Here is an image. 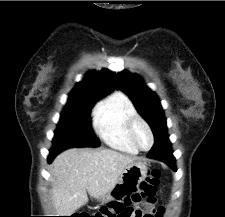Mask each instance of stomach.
I'll use <instances>...</instances> for the list:
<instances>
[{
  "instance_id": "obj_1",
  "label": "stomach",
  "mask_w": 225,
  "mask_h": 217,
  "mask_svg": "<svg viewBox=\"0 0 225 217\" xmlns=\"http://www.w3.org/2000/svg\"><path fill=\"white\" fill-rule=\"evenodd\" d=\"M147 177V168L143 162L136 161L127 165L112 191L99 198L102 203H108L113 199L114 190L120 187L138 186Z\"/></svg>"
}]
</instances>
